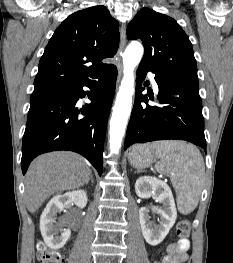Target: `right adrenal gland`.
Returning a JSON list of instances; mask_svg holds the SVG:
<instances>
[{"instance_id":"1","label":"right adrenal gland","mask_w":233,"mask_h":263,"mask_svg":"<svg viewBox=\"0 0 233 263\" xmlns=\"http://www.w3.org/2000/svg\"><path fill=\"white\" fill-rule=\"evenodd\" d=\"M90 180H91V182H92V184L94 183V179H93V175L91 174V176H90Z\"/></svg>"}]
</instances>
